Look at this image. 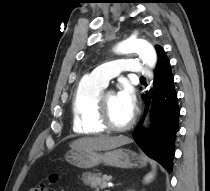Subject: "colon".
Returning <instances> with one entry per match:
<instances>
[{"instance_id":"5ec220e1","label":"colon","mask_w":210,"mask_h":191,"mask_svg":"<svg viewBox=\"0 0 210 191\" xmlns=\"http://www.w3.org/2000/svg\"><path fill=\"white\" fill-rule=\"evenodd\" d=\"M58 179L57 175H52L51 176V181L55 182ZM29 191H48L47 188L45 186H36L31 188Z\"/></svg>"}]
</instances>
